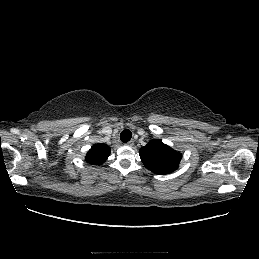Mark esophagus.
<instances>
[{
	"instance_id": "esophagus-1",
	"label": "esophagus",
	"mask_w": 259,
	"mask_h": 259,
	"mask_svg": "<svg viewBox=\"0 0 259 259\" xmlns=\"http://www.w3.org/2000/svg\"><path fill=\"white\" fill-rule=\"evenodd\" d=\"M126 145L132 147L134 145V141L131 140V141L127 142Z\"/></svg>"
}]
</instances>
